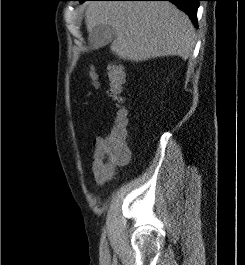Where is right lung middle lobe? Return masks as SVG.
I'll return each mask as SVG.
<instances>
[{
    "instance_id": "obj_1",
    "label": "right lung middle lobe",
    "mask_w": 245,
    "mask_h": 265,
    "mask_svg": "<svg viewBox=\"0 0 245 265\" xmlns=\"http://www.w3.org/2000/svg\"><path fill=\"white\" fill-rule=\"evenodd\" d=\"M78 1H80V3H83V2L86 1V0H78Z\"/></svg>"
}]
</instances>
